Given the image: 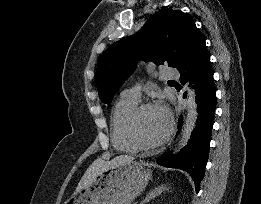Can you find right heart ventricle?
<instances>
[{
	"instance_id": "e07e8e85",
	"label": "right heart ventricle",
	"mask_w": 261,
	"mask_h": 204,
	"mask_svg": "<svg viewBox=\"0 0 261 204\" xmlns=\"http://www.w3.org/2000/svg\"><path fill=\"white\" fill-rule=\"evenodd\" d=\"M138 101L122 98L114 105L110 117L111 141L114 148L124 153H134L139 150L129 138L126 123Z\"/></svg>"
}]
</instances>
